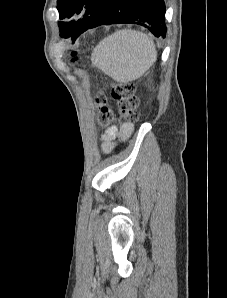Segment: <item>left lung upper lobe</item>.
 Listing matches in <instances>:
<instances>
[{
	"label": "left lung upper lobe",
	"mask_w": 227,
	"mask_h": 298,
	"mask_svg": "<svg viewBox=\"0 0 227 298\" xmlns=\"http://www.w3.org/2000/svg\"><path fill=\"white\" fill-rule=\"evenodd\" d=\"M107 0H57L60 19L71 18L84 10V16L71 21L59 22L60 36L71 37L73 41L89 28H94Z\"/></svg>",
	"instance_id": "1"
}]
</instances>
